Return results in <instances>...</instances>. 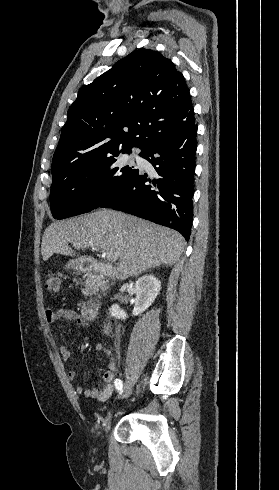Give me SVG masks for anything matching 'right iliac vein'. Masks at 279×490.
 <instances>
[{
  "label": "right iliac vein",
  "mask_w": 279,
  "mask_h": 490,
  "mask_svg": "<svg viewBox=\"0 0 279 490\" xmlns=\"http://www.w3.org/2000/svg\"><path fill=\"white\" fill-rule=\"evenodd\" d=\"M131 393H132L131 384L128 383L127 384V388L123 392V397H128ZM111 421H112V413H108L107 419H106V422H105V431L106 432H108L109 429H110Z\"/></svg>",
  "instance_id": "obj_1"
}]
</instances>
